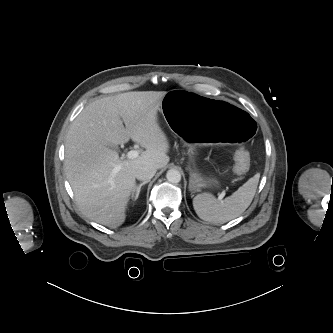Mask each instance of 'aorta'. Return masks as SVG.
I'll return each instance as SVG.
<instances>
[{
    "instance_id": "762f6f07",
    "label": "aorta",
    "mask_w": 333,
    "mask_h": 333,
    "mask_svg": "<svg viewBox=\"0 0 333 333\" xmlns=\"http://www.w3.org/2000/svg\"><path fill=\"white\" fill-rule=\"evenodd\" d=\"M166 178L170 183H179L181 181V174L176 169H170L167 171Z\"/></svg>"
}]
</instances>
